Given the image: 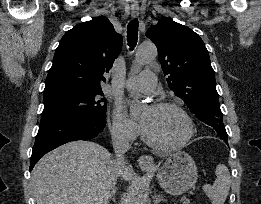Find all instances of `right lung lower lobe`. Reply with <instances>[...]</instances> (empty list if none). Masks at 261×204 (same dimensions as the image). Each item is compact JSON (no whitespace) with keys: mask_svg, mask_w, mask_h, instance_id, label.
<instances>
[{"mask_svg":"<svg viewBox=\"0 0 261 204\" xmlns=\"http://www.w3.org/2000/svg\"><path fill=\"white\" fill-rule=\"evenodd\" d=\"M106 115L91 113L57 114L41 118L32 151L30 171L49 151L74 140H90L103 131Z\"/></svg>","mask_w":261,"mask_h":204,"instance_id":"98d812e1","label":"right lung lower lobe"}]
</instances>
